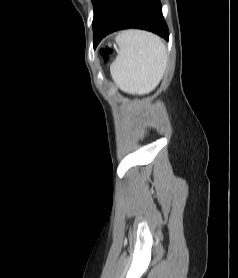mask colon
<instances>
[{
    "instance_id": "obj_1",
    "label": "colon",
    "mask_w": 238,
    "mask_h": 278,
    "mask_svg": "<svg viewBox=\"0 0 238 278\" xmlns=\"http://www.w3.org/2000/svg\"><path fill=\"white\" fill-rule=\"evenodd\" d=\"M103 54H104V56H106V53H105V52H104Z\"/></svg>"
}]
</instances>
